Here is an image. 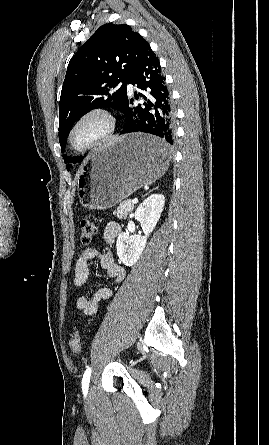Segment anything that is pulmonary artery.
<instances>
[{"label": "pulmonary artery", "mask_w": 269, "mask_h": 445, "mask_svg": "<svg viewBox=\"0 0 269 445\" xmlns=\"http://www.w3.org/2000/svg\"><path fill=\"white\" fill-rule=\"evenodd\" d=\"M128 88H129V89H132V85H131V84H129V85H128Z\"/></svg>", "instance_id": "pulmonary-artery-1"}]
</instances>
